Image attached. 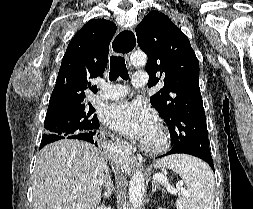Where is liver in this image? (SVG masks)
Masks as SVG:
<instances>
[{
    "mask_svg": "<svg viewBox=\"0 0 253 209\" xmlns=\"http://www.w3.org/2000/svg\"><path fill=\"white\" fill-rule=\"evenodd\" d=\"M107 157L94 145L60 140L44 147L33 174L34 209H98Z\"/></svg>",
    "mask_w": 253,
    "mask_h": 209,
    "instance_id": "liver-1",
    "label": "liver"
}]
</instances>
